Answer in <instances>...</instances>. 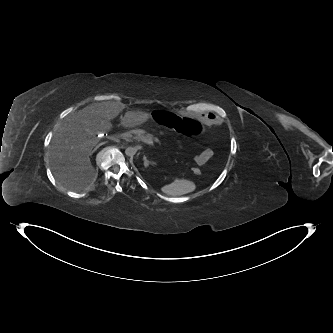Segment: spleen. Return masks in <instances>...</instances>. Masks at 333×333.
Wrapping results in <instances>:
<instances>
[{"instance_id":"obj_1","label":"spleen","mask_w":333,"mask_h":333,"mask_svg":"<svg viewBox=\"0 0 333 333\" xmlns=\"http://www.w3.org/2000/svg\"><path fill=\"white\" fill-rule=\"evenodd\" d=\"M196 189L194 182L185 179H176L172 183L165 185L161 191L168 196H181L193 192Z\"/></svg>"}]
</instances>
